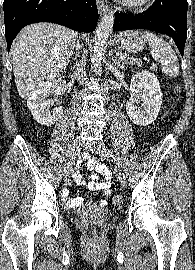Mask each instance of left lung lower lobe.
Returning <instances> with one entry per match:
<instances>
[{"label": "left lung lower lobe", "mask_w": 195, "mask_h": 270, "mask_svg": "<svg viewBox=\"0 0 195 270\" xmlns=\"http://www.w3.org/2000/svg\"><path fill=\"white\" fill-rule=\"evenodd\" d=\"M131 29L169 35L183 56L187 39V0H155L149 9L136 15L117 12L113 31Z\"/></svg>", "instance_id": "obj_1"}]
</instances>
